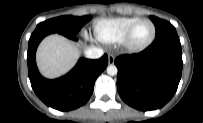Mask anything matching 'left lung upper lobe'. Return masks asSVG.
Instances as JSON below:
<instances>
[{
  "mask_svg": "<svg viewBox=\"0 0 203 123\" xmlns=\"http://www.w3.org/2000/svg\"><path fill=\"white\" fill-rule=\"evenodd\" d=\"M150 19L152 20V22L155 25L156 37L161 36L167 32H174V31L176 32L175 27L171 23H169L165 20H161L154 16H150Z\"/></svg>",
  "mask_w": 203,
  "mask_h": 123,
  "instance_id": "obj_1",
  "label": "left lung upper lobe"
}]
</instances>
